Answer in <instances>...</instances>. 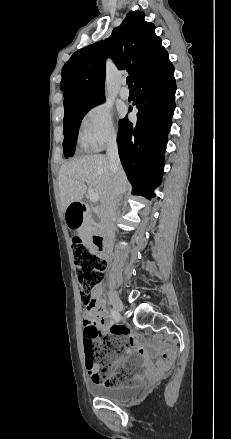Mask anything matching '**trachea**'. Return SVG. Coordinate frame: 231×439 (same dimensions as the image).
I'll list each match as a JSON object with an SVG mask.
<instances>
[{
	"label": "trachea",
	"mask_w": 231,
	"mask_h": 439,
	"mask_svg": "<svg viewBox=\"0 0 231 439\" xmlns=\"http://www.w3.org/2000/svg\"><path fill=\"white\" fill-rule=\"evenodd\" d=\"M126 81H127V85H128L129 87H133V85H132V79H131L130 76H128V77L126 78Z\"/></svg>",
	"instance_id": "1"
}]
</instances>
